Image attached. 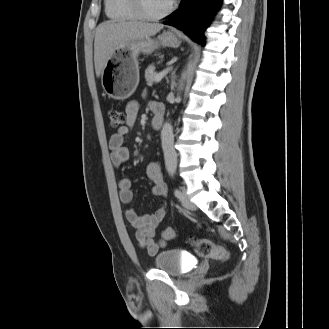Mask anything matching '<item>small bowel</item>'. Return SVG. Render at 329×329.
<instances>
[{"label": "small bowel", "mask_w": 329, "mask_h": 329, "mask_svg": "<svg viewBox=\"0 0 329 329\" xmlns=\"http://www.w3.org/2000/svg\"><path fill=\"white\" fill-rule=\"evenodd\" d=\"M152 103L151 106H153ZM139 113V104L131 101L126 105V123L110 136L109 148L111 151V162L115 168H121L129 159V149L125 145L126 137L130 134ZM146 176L152 182V193L158 197H166L167 187L159 163L152 162L147 165ZM119 198L124 204H129L133 200L132 183L128 178H122L118 183ZM164 207L159 208L152 214L139 215L134 209L127 208L124 211L126 220L135 229V237L138 245L145 249L149 255H155L166 245L165 240L154 239L156 228L165 216Z\"/></svg>", "instance_id": "obj_1"}]
</instances>
